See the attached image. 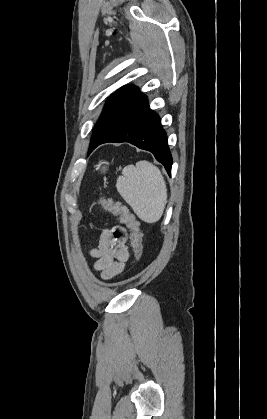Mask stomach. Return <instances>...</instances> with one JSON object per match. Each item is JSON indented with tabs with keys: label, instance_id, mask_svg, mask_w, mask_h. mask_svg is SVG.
I'll use <instances>...</instances> for the list:
<instances>
[{
	"label": "stomach",
	"instance_id": "1",
	"mask_svg": "<svg viewBox=\"0 0 267 419\" xmlns=\"http://www.w3.org/2000/svg\"><path fill=\"white\" fill-rule=\"evenodd\" d=\"M106 164H107L106 162L99 163L97 165V170L101 169L103 172H105L106 171V166H103V165H106Z\"/></svg>",
	"mask_w": 267,
	"mask_h": 419
}]
</instances>
